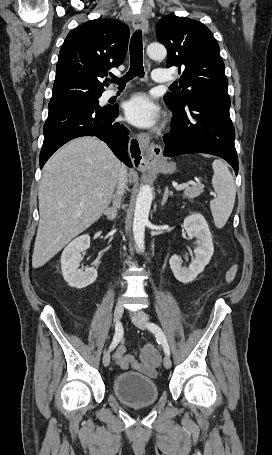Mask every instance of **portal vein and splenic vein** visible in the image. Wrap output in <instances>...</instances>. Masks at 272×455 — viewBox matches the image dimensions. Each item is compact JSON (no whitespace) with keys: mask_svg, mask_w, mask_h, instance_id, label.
I'll return each mask as SVG.
<instances>
[{"mask_svg":"<svg viewBox=\"0 0 272 455\" xmlns=\"http://www.w3.org/2000/svg\"><path fill=\"white\" fill-rule=\"evenodd\" d=\"M187 187H189V184L188 183H184V184L178 185L176 187V190L180 191V190H183V189H185Z\"/></svg>","mask_w":272,"mask_h":455,"instance_id":"portal-vein-and-splenic-vein-1","label":"portal vein and splenic vein"}]
</instances>
